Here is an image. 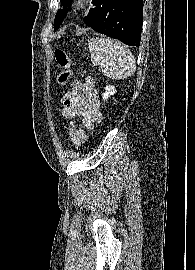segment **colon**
<instances>
[{
	"instance_id": "5ec220e1",
	"label": "colon",
	"mask_w": 195,
	"mask_h": 270,
	"mask_svg": "<svg viewBox=\"0 0 195 270\" xmlns=\"http://www.w3.org/2000/svg\"><path fill=\"white\" fill-rule=\"evenodd\" d=\"M55 59L60 68L57 80L62 86H69L70 90L63 97V105L73 104L81 94V83L71 80L72 69L75 66L74 60L63 49L55 50ZM75 140L78 144L85 143L87 134L82 129L75 130Z\"/></svg>"
}]
</instances>
